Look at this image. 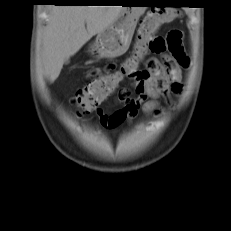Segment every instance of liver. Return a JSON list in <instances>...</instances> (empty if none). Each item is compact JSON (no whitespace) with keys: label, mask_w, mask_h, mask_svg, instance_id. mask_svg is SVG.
I'll return each instance as SVG.
<instances>
[{"label":"liver","mask_w":231,"mask_h":231,"mask_svg":"<svg viewBox=\"0 0 231 231\" xmlns=\"http://www.w3.org/2000/svg\"><path fill=\"white\" fill-rule=\"evenodd\" d=\"M122 9V6L51 7L41 51L42 65L50 82L58 78L64 61L75 55L91 37L111 25Z\"/></svg>","instance_id":"1"}]
</instances>
